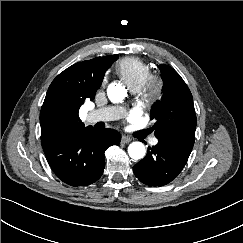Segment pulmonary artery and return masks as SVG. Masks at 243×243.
Segmentation results:
<instances>
[{
	"label": "pulmonary artery",
	"instance_id": "1",
	"mask_svg": "<svg viewBox=\"0 0 243 243\" xmlns=\"http://www.w3.org/2000/svg\"><path fill=\"white\" fill-rule=\"evenodd\" d=\"M136 92V91H134ZM125 114V108L122 106H110L105 108H100L89 112L86 116V121L88 123H96L100 121H111L121 118ZM150 143L156 145L158 140L152 138Z\"/></svg>",
	"mask_w": 243,
	"mask_h": 243
}]
</instances>
